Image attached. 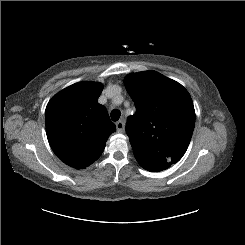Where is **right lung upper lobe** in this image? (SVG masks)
<instances>
[{"label": "right lung upper lobe", "mask_w": 245, "mask_h": 245, "mask_svg": "<svg viewBox=\"0 0 245 245\" xmlns=\"http://www.w3.org/2000/svg\"><path fill=\"white\" fill-rule=\"evenodd\" d=\"M102 89L98 82H79L57 93L46 107L49 144L65 164L75 169L96 161L116 130L105 107L97 102Z\"/></svg>", "instance_id": "obj_1"}]
</instances>
